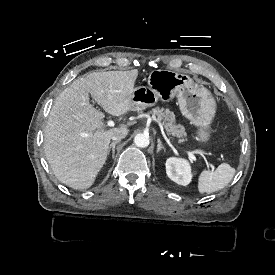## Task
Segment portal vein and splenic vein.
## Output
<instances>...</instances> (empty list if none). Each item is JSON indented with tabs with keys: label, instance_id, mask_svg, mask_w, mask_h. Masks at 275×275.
I'll use <instances>...</instances> for the list:
<instances>
[{
	"label": "portal vein and splenic vein",
	"instance_id": "18ae733b",
	"mask_svg": "<svg viewBox=\"0 0 275 275\" xmlns=\"http://www.w3.org/2000/svg\"><path fill=\"white\" fill-rule=\"evenodd\" d=\"M107 124H108V126H110V127H113V126L115 125L114 121H112V120H109V121L107 122ZM188 156H190L191 159L194 160V161H199V158H195V156H193V154H191V153H188ZM210 167H211L212 171H215V167H214L213 164H210Z\"/></svg>",
	"mask_w": 275,
	"mask_h": 275
}]
</instances>
